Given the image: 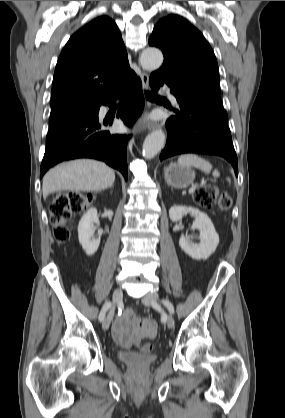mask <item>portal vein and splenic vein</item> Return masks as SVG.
<instances>
[{
	"instance_id": "18ae733b",
	"label": "portal vein and splenic vein",
	"mask_w": 285,
	"mask_h": 418,
	"mask_svg": "<svg viewBox=\"0 0 285 418\" xmlns=\"http://www.w3.org/2000/svg\"><path fill=\"white\" fill-rule=\"evenodd\" d=\"M197 187H198L197 185L192 186V187L189 189V193H190V194H192V193L195 191V189H196Z\"/></svg>"
}]
</instances>
